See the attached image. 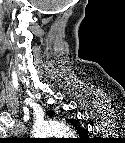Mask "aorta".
I'll list each match as a JSON object with an SVG mask.
<instances>
[{
	"label": "aorta",
	"mask_w": 125,
	"mask_h": 143,
	"mask_svg": "<svg viewBox=\"0 0 125 143\" xmlns=\"http://www.w3.org/2000/svg\"><path fill=\"white\" fill-rule=\"evenodd\" d=\"M33 133L35 136L46 137L58 134L71 135L69 128L62 122L58 121H41L34 125Z\"/></svg>",
	"instance_id": "1"
}]
</instances>
